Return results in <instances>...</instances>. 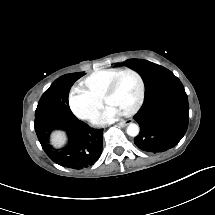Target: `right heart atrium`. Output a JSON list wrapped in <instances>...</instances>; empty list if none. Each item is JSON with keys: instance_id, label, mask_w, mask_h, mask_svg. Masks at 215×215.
I'll use <instances>...</instances> for the list:
<instances>
[{"instance_id": "d8ad5b80", "label": "right heart atrium", "mask_w": 215, "mask_h": 215, "mask_svg": "<svg viewBox=\"0 0 215 215\" xmlns=\"http://www.w3.org/2000/svg\"><path fill=\"white\" fill-rule=\"evenodd\" d=\"M69 106L75 115L86 121H93L100 112V101L90 93L73 87L69 94Z\"/></svg>"}]
</instances>
